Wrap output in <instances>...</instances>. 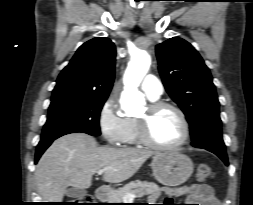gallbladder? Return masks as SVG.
<instances>
[{
  "instance_id": "1",
  "label": "gallbladder",
  "mask_w": 253,
  "mask_h": 205,
  "mask_svg": "<svg viewBox=\"0 0 253 205\" xmlns=\"http://www.w3.org/2000/svg\"><path fill=\"white\" fill-rule=\"evenodd\" d=\"M66 196L72 197V198H81L87 194V192L83 189H77V188H68L66 190Z\"/></svg>"
}]
</instances>
